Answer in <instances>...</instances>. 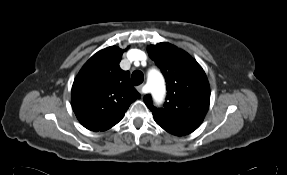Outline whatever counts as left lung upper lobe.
Returning a JSON list of instances; mask_svg holds the SVG:
<instances>
[{"instance_id": "5c2ea615", "label": "left lung upper lobe", "mask_w": 287, "mask_h": 175, "mask_svg": "<svg viewBox=\"0 0 287 175\" xmlns=\"http://www.w3.org/2000/svg\"><path fill=\"white\" fill-rule=\"evenodd\" d=\"M148 54L161 69L167 83L164 108L152 105L150 95L144 102L156 123L167 132L182 136L202 123L210 103V86L202 67L184 50L166 42L150 45Z\"/></svg>"}]
</instances>
